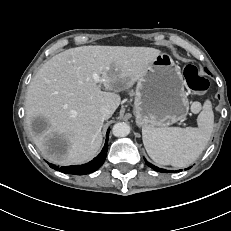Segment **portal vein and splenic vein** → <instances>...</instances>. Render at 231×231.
I'll use <instances>...</instances> for the list:
<instances>
[{
    "label": "portal vein and splenic vein",
    "mask_w": 231,
    "mask_h": 231,
    "mask_svg": "<svg viewBox=\"0 0 231 231\" xmlns=\"http://www.w3.org/2000/svg\"><path fill=\"white\" fill-rule=\"evenodd\" d=\"M93 78H94V80H95L96 82H100V81H101L99 75L96 74V73L93 74Z\"/></svg>",
    "instance_id": "1"
}]
</instances>
